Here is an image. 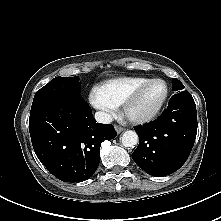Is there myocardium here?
Segmentation results:
<instances>
[{"label": "myocardium", "mask_w": 221, "mask_h": 221, "mask_svg": "<svg viewBox=\"0 0 221 221\" xmlns=\"http://www.w3.org/2000/svg\"><path fill=\"white\" fill-rule=\"evenodd\" d=\"M154 83H161L164 86V95L161 99V101L159 102V104L148 114L143 115V116H133L131 114V110L133 108V106L138 102V100L140 99L143 91L150 85L154 84ZM169 96V87L167 85V83L160 79V78H155V79H150L148 81H146L145 83H143L142 85H140L124 102L123 104V112L124 115L126 116V118L135 123V124H148L150 122H153L154 120H156L160 113L162 112L167 99Z\"/></svg>", "instance_id": "1"}]
</instances>
